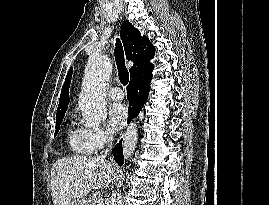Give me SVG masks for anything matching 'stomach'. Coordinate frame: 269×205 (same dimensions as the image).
<instances>
[{
  "label": "stomach",
  "mask_w": 269,
  "mask_h": 205,
  "mask_svg": "<svg viewBox=\"0 0 269 205\" xmlns=\"http://www.w3.org/2000/svg\"><path fill=\"white\" fill-rule=\"evenodd\" d=\"M74 205H85L84 200H77Z\"/></svg>",
  "instance_id": "stomach-1"
}]
</instances>
